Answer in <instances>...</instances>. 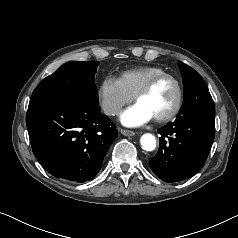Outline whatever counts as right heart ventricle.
Listing matches in <instances>:
<instances>
[{
	"label": "right heart ventricle",
	"mask_w": 238,
	"mask_h": 238,
	"mask_svg": "<svg viewBox=\"0 0 238 238\" xmlns=\"http://www.w3.org/2000/svg\"><path fill=\"white\" fill-rule=\"evenodd\" d=\"M162 73L166 71L158 66H139L123 71L118 80L123 89L133 97L147 81Z\"/></svg>",
	"instance_id": "1"
}]
</instances>
